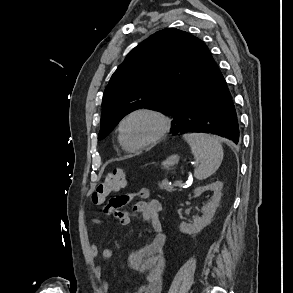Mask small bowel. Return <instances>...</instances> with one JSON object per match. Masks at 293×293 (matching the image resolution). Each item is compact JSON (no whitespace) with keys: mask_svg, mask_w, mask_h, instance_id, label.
Instances as JSON below:
<instances>
[{"mask_svg":"<svg viewBox=\"0 0 293 293\" xmlns=\"http://www.w3.org/2000/svg\"><path fill=\"white\" fill-rule=\"evenodd\" d=\"M136 197L140 198V201L134 205L133 212L124 210L123 208ZM161 210L160 201L150 199V191L147 188H140L134 192L114 196L106 205V211L114 215L122 226H128L132 217L139 215L146 222L148 232L151 235V240L147 245L131 252L129 255L128 264L130 268L142 276L139 285L126 293H161L166 243V236L159 220ZM91 223L99 225L103 224L104 221L93 218ZM87 253L92 260L97 257L98 247L96 243L89 241ZM102 257L104 259L112 258L113 250L110 247L104 248ZM102 288L108 289V282L104 281Z\"/></svg>","mask_w":293,"mask_h":293,"instance_id":"obj_1","label":"small bowel"}]
</instances>
